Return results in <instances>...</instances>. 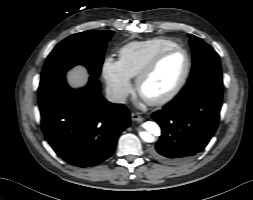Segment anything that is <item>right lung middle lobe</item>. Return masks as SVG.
Returning <instances> with one entry per match:
<instances>
[{
  "label": "right lung middle lobe",
  "instance_id": "dd1d6c3e",
  "mask_svg": "<svg viewBox=\"0 0 253 200\" xmlns=\"http://www.w3.org/2000/svg\"><path fill=\"white\" fill-rule=\"evenodd\" d=\"M113 31L90 30L71 35L61 41L49 54L41 78L65 73L77 64L84 65L92 77L101 72L106 44Z\"/></svg>",
  "mask_w": 253,
  "mask_h": 200
}]
</instances>
